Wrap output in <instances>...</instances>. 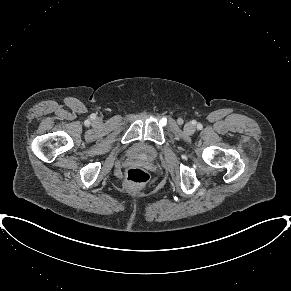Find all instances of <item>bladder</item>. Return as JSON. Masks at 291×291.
Here are the masks:
<instances>
[{"label": "bladder", "instance_id": "31cf9c89", "mask_svg": "<svg viewBox=\"0 0 291 291\" xmlns=\"http://www.w3.org/2000/svg\"><path fill=\"white\" fill-rule=\"evenodd\" d=\"M130 155L142 159H153L157 155L155 147L147 142H138L130 149Z\"/></svg>", "mask_w": 291, "mask_h": 291}]
</instances>
